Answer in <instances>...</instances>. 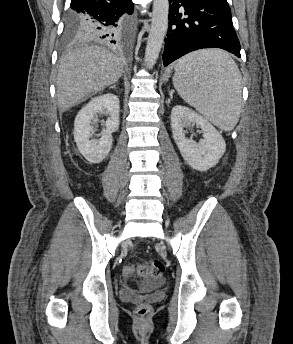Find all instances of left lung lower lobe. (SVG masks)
<instances>
[{
    "instance_id": "1",
    "label": "left lung lower lobe",
    "mask_w": 293,
    "mask_h": 344,
    "mask_svg": "<svg viewBox=\"0 0 293 344\" xmlns=\"http://www.w3.org/2000/svg\"><path fill=\"white\" fill-rule=\"evenodd\" d=\"M169 3L164 66L202 48H221L241 57L226 0H169Z\"/></svg>"
}]
</instances>
